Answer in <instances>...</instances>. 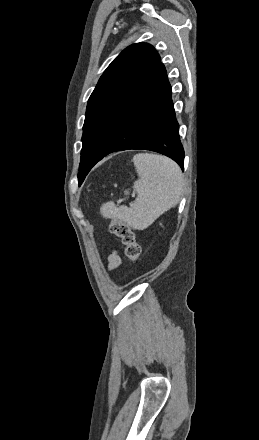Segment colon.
Segmentation results:
<instances>
[{
  "mask_svg": "<svg viewBox=\"0 0 259 440\" xmlns=\"http://www.w3.org/2000/svg\"><path fill=\"white\" fill-rule=\"evenodd\" d=\"M109 230L112 234L120 238L121 242L125 246V254L128 259L136 262L141 255V246L137 242L136 236L132 229L117 219H111Z\"/></svg>",
  "mask_w": 259,
  "mask_h": 440,
  "instance_id": "colon-1",
  "label": "colon"
}]
</instances>
